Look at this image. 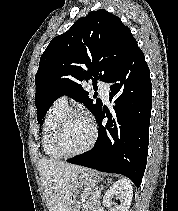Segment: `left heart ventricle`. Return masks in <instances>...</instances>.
<instances>
[{
  "instance_id": "left-heart-ventricle-1",
  "label": "left heart ventricle",
  "mask_w": 178,
  "mask_h": 211,
  "mask_svg": "<svg viewBox=\"0 0 178 211\" xmlns=\"http://www.w3.org/2000/svg\"><path fill=\"white\" fill-rule=\"evenodd\" d=\"M90 138L89 123L81 117H73L62 133L61 148L68 153L79 151L88 144Z\"/></svg>"
}]
</instances>
